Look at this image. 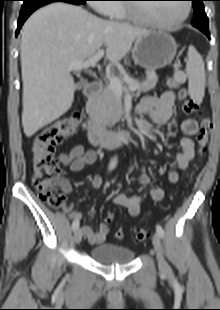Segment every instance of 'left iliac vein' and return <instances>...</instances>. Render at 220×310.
<instances>
[{"label": "left iliac vein", "instance_id": "4c4485c4", "mask_svg": "<svg viewBox=\"0 0 220 310\" xmlns=\"http://www.w3.org/2000/svg\"><path fill=\"white\" fill-rule=\"evenodd\" d=\"M152 242L157 255L158 268L161 273L168 274L170 268L163 257L161 239L158 233L153 235Z\"/></svg>", "mask_w": 220, "mask_h": 310}]
</instances>
